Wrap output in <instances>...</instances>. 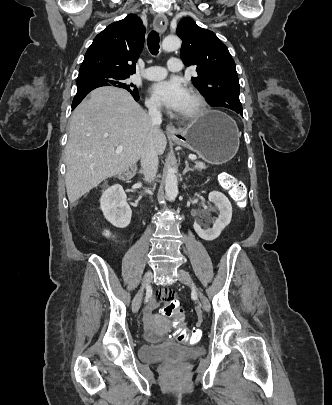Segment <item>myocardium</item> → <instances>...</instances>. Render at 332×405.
<instances>
[{"label": "myocardium", "instance_id": "f54148a6", "mask_svg": "<svg viewBox=\"0 0 332 405\" xmlns=\"http://www.w3.org/2000/svg\"><path fill=\"white\" fill-rule=\"evenodd\" d=\"M188 93L191 95L195 102L193 111L188 114H181L180 117L184 120H194L202 115L206 107V101L203 95L195 88H189Z\"/></svg>", "mask_w": 332, "mask_h": 405}]
</instances>
